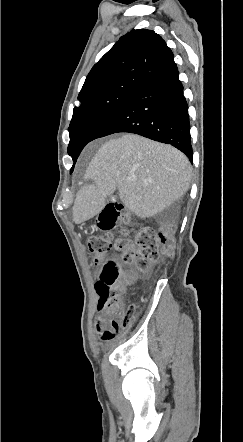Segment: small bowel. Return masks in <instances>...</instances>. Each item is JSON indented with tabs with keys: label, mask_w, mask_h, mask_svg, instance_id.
Here are the masks:
<instances>
[{
	"label": "small bowel",
	"mask_w": 243,
	"mask_h": 442,
	"mask_svg": "<svg viewBox=\"0 0 243 442\" xmlns=\"http://www.w3.org/2000/svg\"><path fill=\"white\" fill-rule=\"evenodd\" d=\"M113 315V309L109 308V307H104L99 309V317L96 321V329L98 331V334L102 340V335L108 330L110 329L111 326V321L109 320V318ZM104 341V340H102ZM110 341V340H108ZM108 341H104V342H108Z\"/></svg>",
	"instance_id": "obj_1"
}]
</instances>
